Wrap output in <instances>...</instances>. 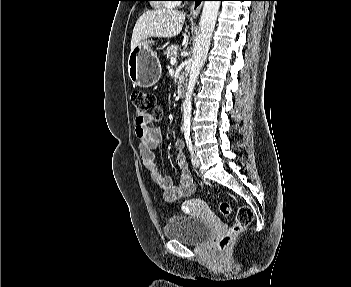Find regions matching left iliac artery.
<instances>
[{
  "label": "left iliac artery",
  "mask_w": 351,
  "mask_h": 287,
  "mask_svg": "<svg viewBox=\"0 0 351 287\" xmlns=\"http://www.w3.org/2000/svg\"><path fill=\"white\" fill-rule=\"evenodd\" d=\"M184 135H185V140H186V144H187L189 151L193 152V145H192V141H191V137H190V132H185Z\"/></svg>",
  "instance_id": "44dca946"
}]
</instances>
